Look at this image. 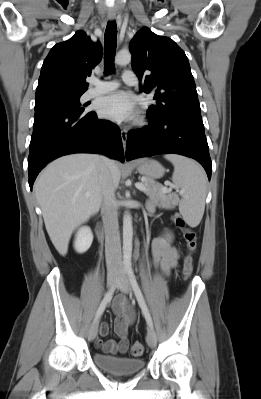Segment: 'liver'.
I'll use <instances>...</instances> for the list:
<instances>
[{
    "instance_id": "1",
    "label": "liver",
    "mask_w": 261,
    "mask_h": 399,
    "mask_svg": "<svg viewBox=\"0 0 261 399\" xmlns=\"http://www.w3.org/2000/svg\"><path fill=\"white\" fill-rule=\"evenodd\" d=\"M109 169L114 187L119 185L118 164L95 154H73L50 163L34 185L48 235L62 256L67 254L74 229L96 214L102 203L104 172Z\"/></svg>"
}]
</instances>
